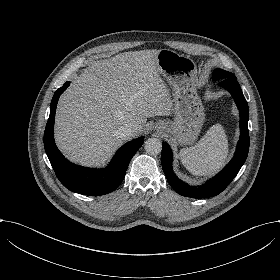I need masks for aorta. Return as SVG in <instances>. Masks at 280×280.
Wrapping results in <instances>:
<instances>
[{
  "label": "aorta",
  "mask_w": 280,
  "mask_h": 280,
  "mask_svg": "<svg viewBox=\"0 0 280 280\" xmlns=\"http://www.w3.org/2000/svg\"><path fill=\"white\" fill-rule=\"evenodd\" d=\"M144 149L150 155H157L162 151V143L158 138H149L145 141Z\"/></svg>",
  "instance_id": "762f6f07"
}]
</instances>
